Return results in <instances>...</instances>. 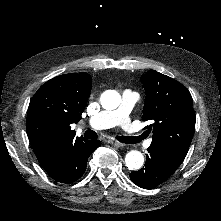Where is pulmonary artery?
I'll use <instances>...</instances> for the list:
<instances>
[{
	"label": "pulmonary artery",
	"instance_id": "1",
	"mask_svg": "<svg viewBox=\"0 0 221 221\" xmlns=\"http://www.w3.org/2000/svg\"><path fill=\"white\" fill-rule=\"evenodd\" d=\"M139 103V96L134 91H127L122 96V103L118 109L110 112H102L93 114L88 119V126L93 131H101L103 129H111L114 126H120L125 119H130L135 114V107ZM85 125L84 122L80 123Z\"/></svg>",
	"mask_w": 221,
	"mask_h": 221
}]
</instances>
